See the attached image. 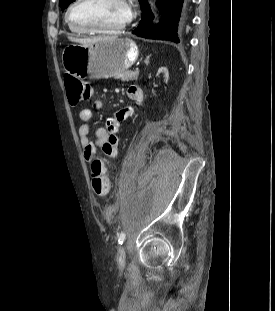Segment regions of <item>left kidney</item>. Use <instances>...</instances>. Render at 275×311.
Returning a JSON list of instances; mask_svg holds the SVG:
<instances>
[{"label":"left kidney","mask_w":275,"mask_h":311,"mask_svg":"<svg viewBox=\"0 0 275 311\" xmlns=\"http://www.w3.org/2000/svg\"><path fill=\"white\" fill-rule=\"evenodd\" d=\"M157 77H158V80H161V82H153L152 83V88L153 89H165L167 87V82H168V78H169V72H168V69L166 67H161L159 70H158V73H157Z\"/></svg>","instance_id":"5707ae66"}]
</instances>
